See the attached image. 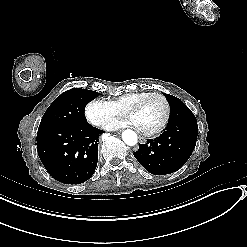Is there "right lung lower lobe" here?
<instances>
[{
	"label": "right lung lower lobe",
	"mask_w": 247,
	"mask_h": 247,
	"mask_svg": "<svg viewBox=\"0 0 247 247\" xmlns=\"http://www.w3.org/2000/svg\"><path fill=\"white\" fill-rule=\"evenodd\" d=\"M101 133L102 130L88 123L39 129L36 137L39 158L55 180L83 183L95 172Z\"/></svg>",
	"instance_id": "obj_1"
}]
</instances>
